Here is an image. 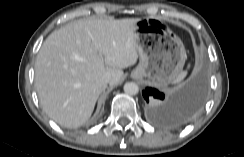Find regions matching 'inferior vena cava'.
Returning <instances> with one entry per match:
<instances>
[{"label": "inferior vena cava", "instance_id": "1", "mask_svg": "<svg viewBox=\"0 0 244 157\" xmlns=\"http://www.w3.org/2000/svg\"><path fill=\"white\" fill-rule=\"evenodd\" d=\"M102 80L105 83H109L111 80V76L109 74H105V75H103Z\"/></svg>", "mask_w": 244, "mask_h": 157}]
</instances>
